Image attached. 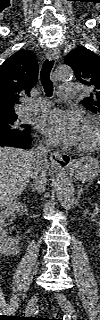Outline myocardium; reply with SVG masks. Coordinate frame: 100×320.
Listing matches in <instances>:
<instances>
[{
	"instance_id": "obj_1",
	"label": "myocardium",
	"mask_w": 100,
	"mask_h": 320,
	"mask_svg": "<svg viewBox=\"0 0 100 320\" xmlns=\"http://www.w3.org/2000/svg\"><path fill=\"white\" fill-rule=\"evenodd\" d=\"M84 126L87 127L92 134L91 139L88 142L82 143L78 145V149L80 151H92L94 150L100 143V129L98 123L93 119H88L85 121Z\"/></svg>"
}]
</instances>
